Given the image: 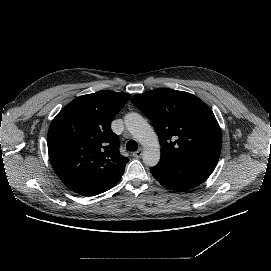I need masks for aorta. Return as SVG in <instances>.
I'll return each instance as SVG.
<instances>
[{"label":"aorta","instance_id":"762f6f07","mask_svg":"<svg viewBox=\"0 0 271 271\" xmlns=\"http://www.w3.org/2000/svg\"><path fill=\"white\" fill-rule=\"evenodd\" d=\"M125 125L131 135L142 145L144 163L148 166L157 165L161 151L158 136L153 127L138 113L127 114Z\"/></svg>","mask_w":271,"mask_h":271}]
</instances>
